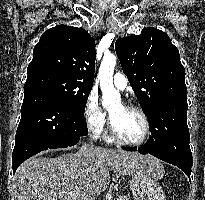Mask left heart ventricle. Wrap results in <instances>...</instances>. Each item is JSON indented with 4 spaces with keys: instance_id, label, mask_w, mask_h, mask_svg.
Listing matches in <instances>:
<instances>
[{
    "instance_id": "left-heart-ventricle-1",
    "label": "left heart ventricle",
    "mask_w": 205,
    "mask_h": 200,
    "mask_svg": "<svg viewBox=\"0 0 205 200\" xmlns=\"http://www.w3.org/2000/svg\"><path fill=\"white\" fill-rule=\"evenodd\" d=\"M110 117L116 131L126 140L137 141L144 133V123L139 114L118 104L110 110Z\"/></svg>"
}]
</instances>
